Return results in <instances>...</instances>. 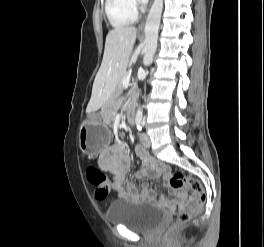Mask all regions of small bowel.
<instances>
[{
  "label": "small bowel",
  "mask_w": 264,
  "mask_h": 247,
  "mask_svg": "<svg viewBox=\"0 0 264 247\" xmlns=\"http://www.w3.org/2000/svg\"><path fill=\"white\" fill-rule=\"evenodd\" d=\"M135 152L143 163V169L138 173V177L161 178L172 197L176 198V200L182 197V195L177 194L168 186L170 170L167 164L156 160L141 146H137ZM98 164L102 170L112 175L111 189L116 191L119 196L125 199L165 200L164 195L156 194L146 185H143L139 192L132 184L126 183V173L130 169L131 160L128 150L122 144H114L103 150L99 155Z\"/></svg>",
  "instance_id": "small-bowel-1"
}]
</instances>
